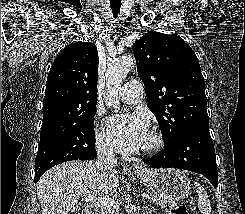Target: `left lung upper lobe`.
<instances>
[{
  "instance_id": "obj_1",
  "label": "left lung upper lobe",
  "mask_w": 245,
  "mask_h": 214,
  "mask_svg": "<svg viewBox=\"0 0 245 214\" xmlns=\"http://www.w3.org/2000/svg\"><path fill=\"white\" fill-rule=\"evenodd\" d=\"M133 53L164 147L193 128L209 127L200 64L182 38L149 31L134 43Z\"/></svg>"
}]
</instances>
